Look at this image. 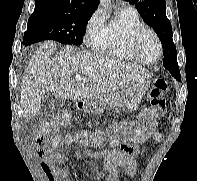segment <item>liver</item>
<instances>
[{
	"instance_id": "1",
	"label": "liver",
	"mask_w": 197,
	"mask_h": 181,
	"mask_svg": "<svg viewBox=\"0 0 197 181\" xmlns=\"http://www.w3.org/2000/svg\"><path fill=\"white\" fill-rule=\"evenodd\" d=\"M57 46L53 41L43 42L25 69L20 103L26 120L32 119L40 111L46 93L51 92L62 100L85 101L151 77V73L141 66L80 51L72 46L65 47L50 60L49 55ZM74 75L88 81L71 85L70 80Z\"/></svg>"
}]
</instances>
